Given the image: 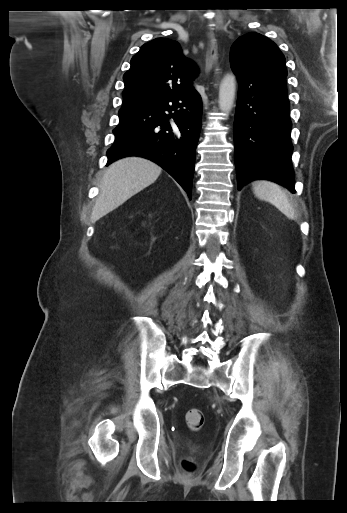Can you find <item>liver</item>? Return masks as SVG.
Returning <instances> with one entry per match:
<instances>
[{"instance_id":"6515ba94","label":"liver","mask_w":347,"mask_h":513,"mask_svg":"<svg viewBox=\"0 0 347 513\" xmlns=\"http://www.w3.org/2000/svg\"><path fill=\"white\" fill-rule=\"evenodd\" d=\"M161 171L157 164L141 157H126L112 163L104 172L92 221L96 222L153 184Z\"/></svg>"}]
</instances>
